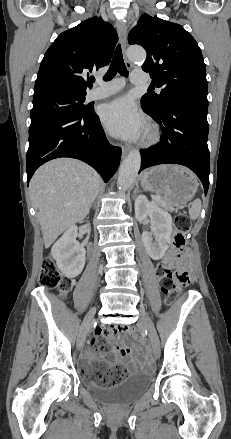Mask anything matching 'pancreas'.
Instances as JSON below:
<instances>
[{
	"mask_svg": "<svg viewBox=\"0 0 231 439\" xmlns=\"http://www.w3.org/2000/svg\"><path fill=\"white\" fill-rule=\"evenodd\" d=\"M156 202H157L158 204L164 205L163 202H162V200H156Z\"/></svg>",
	"mask_w": 231,
	"mask_h": 439,
	"instance_id": "cf45deb5",
	"label": "pancreas"
}]
</instances>
